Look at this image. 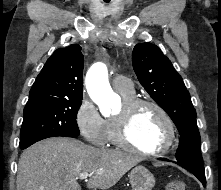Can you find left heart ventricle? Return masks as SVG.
Returning <instances> with one entry per match:
<instances>
[{
	"label": "left heart ventricle",
	"instance_id": "1",
	"mask_svg": "<svg viewBox=\"0 0 221 190\" xmlns=\"http://www.w3.org/2000/svg\"><path fill=\"white\" fill-rule=\"evenodd\" d=\"M122 107L118 112H120ZM129 134L132 142L145 150L157 149L164 145L167 127L160 114L150 106L138 108L132 115Z\"/></svg>",
	"mask_w": 221,
	"mask_h": 190
}]
</instances>
